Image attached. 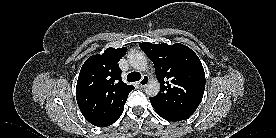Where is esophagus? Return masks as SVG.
I'll list each match as a JSON object with an SVG mask.
<instances>
[{
  "instance_id": "obj_1",
  "label": "esophagus",
  "mask_w": 276,
  "mask_h": 138,
  "mask_svg": "<svg viewBox=\"0 0 276 138\" xmlns=\"http://www.w3.org/2000/svg\"><path fill=\"white\" fill-rule=\"evenodd\" d=\"M149 82V77L147 75H144L142 79L138 82L139 86L141 88H144Z\"/></svg>"
}]
</instances>
